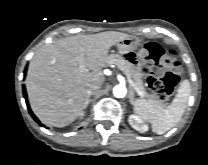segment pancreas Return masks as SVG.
Here are the masks:
<instances>
[{"label": "pancreas", "instance_id": "obj_1", "mask_svg": "<svg viewBox=\"0 0 208 165\" xmlns=\"http://www.w3.org/2000/svg\"><path fill=\"white\" fill-rule=\"evenodd\" d=\"M107 63L109 65L114 64L119 68L124 69V73L133 81L134 87L139 91V95L148 98L150 101L161 104V100H159L155 95H149L145 91V87L143 85V80L141 74L136 70L134 65L129 61L125 60L123 57L117 54H111L108 57Z\"/></svg>", "mask_w": 208, "mask_h": 165}]
</instances>
